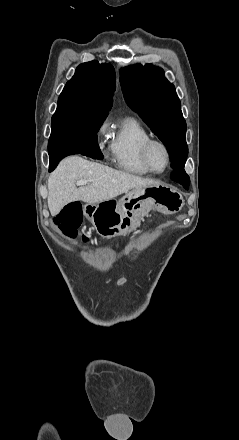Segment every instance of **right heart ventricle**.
<instances>
[{"label": "right heart ventricle", "mask_w": 239, "mask_h": 440, "mask_svg": "<svg viewBox=\"0 0 239 440\" xmlns=\"http://www.w3.org/2000/svg\"><path fill=\"white\" fill-rule=\"evenodd\" d=\"M151 138L149 131L133 118H127L112 136L110 149L114 166L137 175L150 171L142 159V146Z\"/></svg>", "instance_id": "e07e8e85"}]
</instances>
